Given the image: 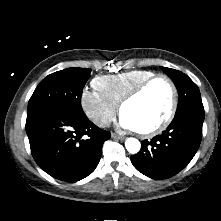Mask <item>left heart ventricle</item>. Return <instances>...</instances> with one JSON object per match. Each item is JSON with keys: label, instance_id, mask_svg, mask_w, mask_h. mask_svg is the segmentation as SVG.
Segmentation results:
<instances>
[{"label": "left heart ventricle", "instance_id": "obj_1", "mask_svg": "<svg viewBox=\"0 0 221 221\" xmlns=\"http://www.w3.org/2000/svg\"><path fill=\"white\" fill-rule=\"evenodd\" d=\"M170 102L171 92L168 85L158 80L139 97L125 105L122 114L133 122L136 130H146L164 119Z\"/></svg>", "mask_w": 221, "mask_h": 221}]
</instances>
